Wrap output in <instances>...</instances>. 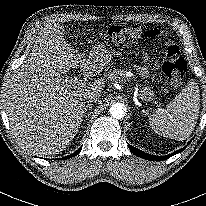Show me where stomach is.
I'll use <instances>...</instances> for the list:
<instances>
[{
    "mask_svg": "<svg viewBox=\"0 0 206 206\" xmlns=\"http://www.w3.org/2000/svg\"><path fill=\"white\" fill-rule=\"evenodd\" d=\"M99 48L104 50L106 56L108 57L107 61H109L111 59V54H112L110 48L106 47L105 45H101L99 46ZM139 96H140L139 98L142 101L152 102L155 98L153 86L150 84L144 85V87H142L140 90Z\"/></svg>",
    "mask_w": 206,
    "mask_h": 206,
    "instance_id": "obj_1",
    "label": "stomach"
}]
</instances>
